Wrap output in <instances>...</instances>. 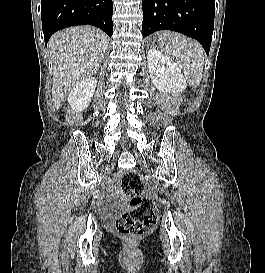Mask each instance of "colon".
<instances>
[{
    "mask_svg": "<svg viewBox=\"0 0 265 273\" xmlns=\"http://www.w3.org/2000/svg\"><path fill=\"white\" fill-rule=\"evenodd\" d=\"M123 193L130 198V209L120 215L115 231L121 236L140 237L151 233L157 225L159 212L155 203L141 196L144 189L142 176L127 171L121 178Z\"/></svg>",
    "mask_w": 265,
    "mask_h": 273,
    "instance_id": "colon-1",
    "label": "colon"
}]
</instances>
